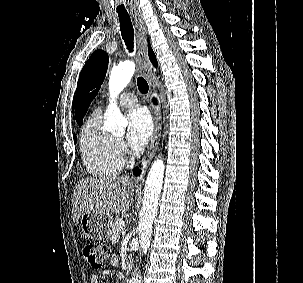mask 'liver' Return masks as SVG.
I'll return each instance as SVG.
<instances>
[{"instance_id": "1", "label": "liver", "mask_w": 303, "mask_h": 283, "mask_svg": "<svg viewBox=\"0 0 303 283\" xmlns=\"http://www.w3.org/2000/svg\"><path fill=\"white\" fill-rule=\"evenodd\" d=\"M134 181L129 176L80 180L73 196L75 223L84 213L123 214L133 203Z\"/></svg>"}]
</instances>
